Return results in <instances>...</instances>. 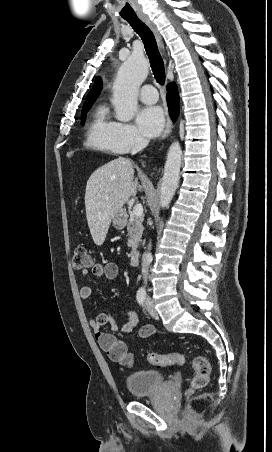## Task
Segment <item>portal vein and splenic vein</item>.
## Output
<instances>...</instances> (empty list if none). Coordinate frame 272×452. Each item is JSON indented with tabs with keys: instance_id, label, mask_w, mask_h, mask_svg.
Returning <instances> with one entry per match:
<instances>
[{
	"instance_id": "obj_1",
	"label": "portal vein and splenic vein",
	"mask_w": 272,
	"mask_h": 452,
	"mask_svg": "<svg viewBox=\"0 0 272 452\" xmlns=\"http://www.w3.org/2000/svg\"><path fill=\"white\" fill-rule=\"evenodd\" d=\"M133 215L142 216L143 215V207L140 204H136L133 208Z\"/></svg>"
}]
</instances>
